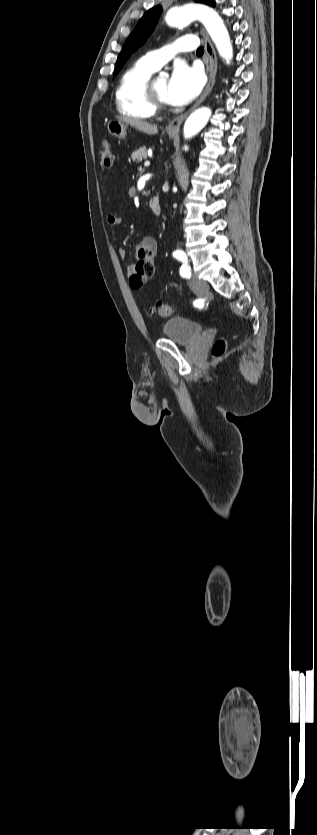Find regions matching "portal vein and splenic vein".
Masks as SVG:
<instances>
[{"instance_id":"1","label":"portal vein and splenic vein","mask_w":317,"mask_h":835,"mask_svg":"<svg viewBox=\"0 0 317 835\" xmlns=\"http://www.w3.org/2000/svg\"><path fill=\"white\" fill-rule=\"evenodd\" d=\"M144 166H145V167H149V166H150V161H146V162L144 163Z\"/></svg>"}]
</instances>
